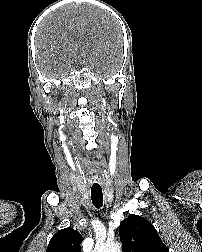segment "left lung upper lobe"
Listing matches in <instances>:
<instances>
[{"label":"left lung upper lobe","mask_w":202,"mask_h":252,"mask_svg":"<svg viewBox=\"0 0 202 252\" xmlns=\"http://www.w3.org/2000/svg\"><path fill=\"white\" fill-rule=\"evenodd\" d=\"M119 234L124 252H169L154 226L141 216L123 220Z\"/></svg>","instance_id":"1"}]
</instances>
